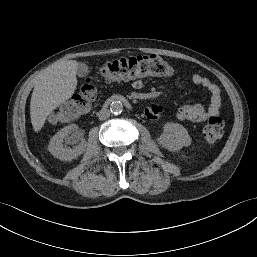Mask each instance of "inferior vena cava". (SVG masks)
<instances>
[{
  "label": "inferior vena cava",
  "mask_w": 257,
  "mask_h": 257,
  "mask_svg": "<svg viewBox=\"0 0 257 257\" xmlns=\"http://www.w3.org/2000/svg\"><path fill=\"white\" fill-rule=\"evenodd\" d=\"M98 118L100 120H106L107 118L110 117V111L108 109H101L98 113Z\"/></svg>",
  "instance_id": "inferior-vena-cava-1"
}]
</instances>
